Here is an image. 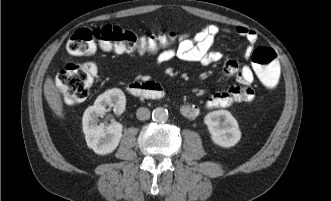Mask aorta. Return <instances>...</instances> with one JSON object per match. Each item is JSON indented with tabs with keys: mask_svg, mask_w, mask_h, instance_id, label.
<instances>
[{
	"mask_svg": "<svg viewBox=\"0 0 331 201\" xmlns=\"http://www.w3.org/2000/svg\"><path fill=\"white\" fill-rule=\"evenodd\" d=\"M152 119L156 122H166L168 120V110L163 107H157L152 112Z\"/></svg>",
	"mask_w": 331,
	"mask_h": 201,
	"instance_id": "1",
	"label": "aorta"
}]
</instances>
